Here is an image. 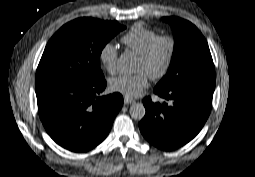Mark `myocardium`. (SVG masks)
Returning a JSON list of instances; mask_svg holds the SVG:
<instances>
[{
	"label": "myocardium",
	"mask_w": 255,
	"mask_h": 177,
	"mask_svg": "<svg viewBox=\"0 0 255 177\" xmlns=\"http://www.w3.org/2000/svg\"><path fill=\"white\" fill-rule=\"evenodd\" d=\"M161 43H165L167 45L168 52H167L166 58L164 60V63L162 65L161 69L158 72L148 76L151 80L161 79L162 77H164L167 74V72L172 64V61L174 59V55H175V51H176L175 39L169 35H159L154 40H152L147 45V47L144 49V51L139 55V57L143 61H149L152 58V55H153L155 49Z\"/></svg>",
	"instance_id": "myocardium-1"
}]
</instances>
